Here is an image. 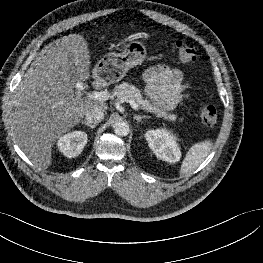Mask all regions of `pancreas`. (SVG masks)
<instances>
[{
	"instance_id": "cf45deb5",
	"label": "pancreas",
	"mask_w": 263,
	"mask_h": 263,
	"mask_svg": "<svg viewBox=\"0 0 263 263\" xmlns=\"http://www.w3.org/2000/svg\"><path fill=\"white\" fill-rule=\"evenodd\" d=\"M114 94L120 99L131 98L135 100L141 109L155 114L156 117H162L169 121H175L177 119L175 114H169L163 109L153 106L149 100L142 96L140 89L132 84L122 82L121 84L116 85Z\"/></svg>"
}]
</instances>
